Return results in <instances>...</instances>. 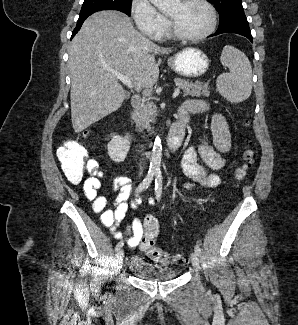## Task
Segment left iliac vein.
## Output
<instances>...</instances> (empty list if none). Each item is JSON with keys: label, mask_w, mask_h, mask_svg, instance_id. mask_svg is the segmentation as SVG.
<instances>
[{"label": "left iliac vein", "mask_w": 298, "mask_h": 325, "mask_svg": "<svg viewBox=\"0 0 298 325\" xmlns=\"http://www.w3.org/2000/svg\"><path fill=\"white\" fill-rule=\"evenodd\" d=\"M190 259H191V263L193 265V267L197 270L200 269V260H199V257L198 255L196 254V252H192L190 254Z\"/></svg>", "instance_id": "1"}]
</instances>
